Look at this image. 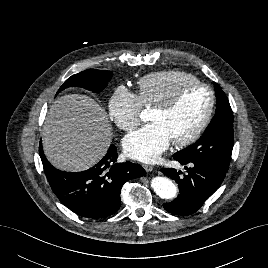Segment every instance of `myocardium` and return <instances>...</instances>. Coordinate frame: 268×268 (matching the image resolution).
Here are the masks:
<instances>
[{"label":"myocardium","mask_w":268,"mask_h":268,"mask_svg":"<svg viewBox=\"0 0 268 268\" xmlns=\"http://www.w3.org/2000/svg\"><path fill=\"white\" fill-rule=\"evenodd\" d=\"M194 87H201V88L206 89L209 92L208 107H207L202 119L198 123V125L194 128V130L189 135H187L186 137H184L182 139L172 141V143L177 147H185V146H188V145L192 144L193 142H195L199 138L201 133L204 131L206 126L208 125V123L211 119L213 110H214V106H215V93H214L213 89L209 85L202 83L200 81L188 82V83H185V84L179 86L174 91V93L170 96V98L168 100H166L164 103L159 104V105L154 107V109L159 111V112L167 113V112L171 111L177 105L178 101L180 100L182 94L185 91H187L190 88H194Z\"/></svg>","instance_id":"obj_1"}]
</instances>
